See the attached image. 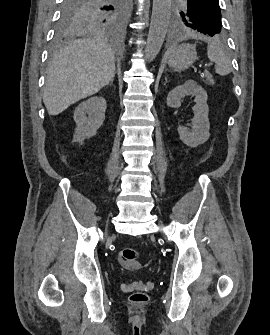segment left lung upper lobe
<instances>
[{
	"mask_svg": "<svg viewBox=\"0 0 270 335\" xmlns=\"http://www.w3.org/2000/svg\"><path fill=\"white\" fill-rule=\"evenodd\" d=\"M178 17L186 28L211 37L222 31L218 0H183L179 3Z\"/></svg>",
	"mask_w": 270,
	"mask_h": 335,
	"instance_id": "obj_1",
	"label": "left lung upper lobe"
}]
</instances>
